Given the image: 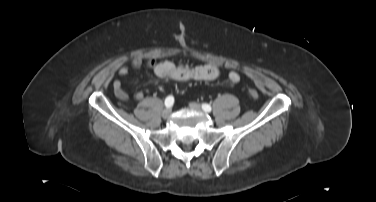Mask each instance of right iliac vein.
Returning a JSON list of instances; mask_svg holds the SVG:
<instances>
[{
  "label": "right iliac vein",
  "instance_id": "right-iliac-vein-1",
  "mask_svg": "<svg viewBox=\"0 0 376 202\" xmlns=\"http://www.w3.org/2000/svg\"><path fill=\"white\" fill-rule=\"evenodd\" d=\"M171 115V108H166L162 112V117L167 119Z\"/></svg>",
  "mask_w": 376,
  "mask_h": 202
}]
</instances>
